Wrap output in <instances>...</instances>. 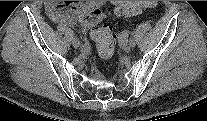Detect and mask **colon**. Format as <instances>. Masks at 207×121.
<instances>
[{
	"label": "colon",
	"mask_w": 207,
	"mask_h": 121,
	"mask_svg": "<svg viewBox=\"0 0 207 121\" xmlns=\"http://www.w3.org/2000/svg\"><path fill=\"white\" fill-rule=\"evenodd\" d=\"M155 1H126L116 5L115 12L119 15H136L147 8L154 7ZM91 38L96 44L99 55L102 58H110L113 55L116 35L108 25H100L92 29Z\"/></svg>",
	"instance_id": "5ec220e1"
}]
</instances>
